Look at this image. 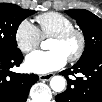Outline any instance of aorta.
Returning <instances> with one entry per match:
<instances>
[{
  "label": "aorta",
  "mask_w": 102,
  "mask_h": 102,
  "mask_svg": "<svg viewBox=\"0 0 102 102\" xmlns=\"http://www.w3.org/2000/svg\"><path fill=\"white\" fill-rule=\"evenodd\" d=\"M41 48L43 50L47 49V41L41 42ZM65 78L62 76H54L50 80V87L55 92H62L65 89Z\"/></svg>",
  "instance_id": "obj_1"
}]
</instances>
